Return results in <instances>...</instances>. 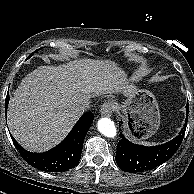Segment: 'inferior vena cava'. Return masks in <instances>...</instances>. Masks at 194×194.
I'll list each match as a JSON object with an SVG mask.
<instances>
[{
	"mask_svg": "<svg viewBox=\"0 0 194 194\" xmlns=\"http://www.w3.org/2000/svg\"><path fill=\"white\" fill-rule=\"evenodd\" d=\"M91 99L90 100H84L80 103V110L82 112L88 110L90 108Z\"/></svg>",
	"mask_w": 194,
	"mask_h": 194,
	"instance_id": "obj_1",
	"label": "inferior vena cava"
}]
</instances>
